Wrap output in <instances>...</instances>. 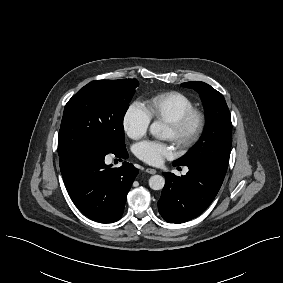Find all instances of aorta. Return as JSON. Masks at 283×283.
Instances as JSON below:
<instances>
[{
  "instance_id": "762f6f07",
  "label": "aorta",
  "mask_w": 283,
  "mask_h": 283,
  "mask_svg": "<svg viewBox=\"0 0 283 283\" xmlns=\"http://www.w3.org/2000/svg\"><path fill=\"white\" fill-rule=\"evenodd\" d=\"M164 129H165L164 126L160 122L155 121L150 125L149 130H150V133L155 138L163 139ZM164 185H165V179L161 175H153L149 179V186L153 190H161L163 189Z\"/></svg>"
}]
</instances>
